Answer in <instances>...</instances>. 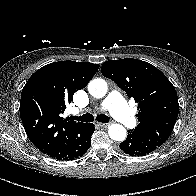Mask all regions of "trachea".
<instances>
[{"label":"trachea","instance_id":"trachea-1","mask_svg":"<svg viewBox=\"0 0 196 196\" xmlns=\"http://www.w3.org/2000/svg\"><path fill=\"white\" fill-rule=\"evenodd\" d=\"M72 119L73 120H77V121H80V122H92V121H94V116L92 115V114H90V113H86V114H84V115H82V116H79V117H76V116H72ZM96 120L98 121V122H102V123H108L109 122V117L108 116H106V115H98L97 117H96Z\"/></svg>","mask_w":196,"mask_h":196}]
</instances>
